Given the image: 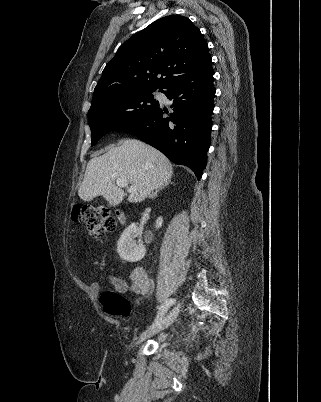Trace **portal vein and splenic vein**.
I'll return each instance as SVG.
<instances>
[{"instance_id":"obj_1","label":"portal vein and splenic vein","mask_w":321,"mask_h":402,"mask_svg":"<svg viewBox=\"0 0 321 402\" xmlns=\"http://www.w3.org/2000/svg\"><path fill=\"white\" fill-rule=\"evenodd\" d=\"M116 184L119 187L127 188V191L129 193H132V192L135 191V187H133V186L128 187V182H127L126 179L119 178V179L116 180Z\"/></svg>"}]
</instances>
